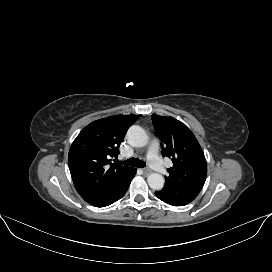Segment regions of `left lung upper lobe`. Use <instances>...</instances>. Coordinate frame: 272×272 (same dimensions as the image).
<instances>
[{"instance_id": "5c2ea615", "label": "left lung upper lobe", "mask_w": 272, "mask_h": 272, "mask_svg": "<svg viewBox=\"0 0 272 272\" xmlns=\"http://www.w3.org/2000/svg\"><path fill=\"white\" fill-rule=\"evenodd\" d=\"M152 122L161 140L162 155L172 159L165 186L199 188L205 183L207 164L201 146L191 130L173 117L152 115Z\"/></svg>"}]
</instances>
